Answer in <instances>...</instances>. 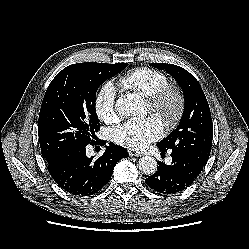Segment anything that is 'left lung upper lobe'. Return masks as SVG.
Wrapping results in <instances>:
<instances>
[{
	"instance_id": "left-lung-upper-lobe-1",
	"label": "left lung upper lobe",
	"mask_w": 249,
	"mask_h": 249,
	"mask_svg": "<svg viewBox=\"0 0 249 249\" xmlns=\"http://www.w3.org/2000/svg\"><path fill=\"white\" fill-rule=\"evenodd\" d=\"M167 71L181 86L185 99L184 112L177 128L157 143L164 150L187 154L205 165L211 151L213 123L206 96L196 78L180 66L152 63Z\"/></svg>"
}]
</instances>
